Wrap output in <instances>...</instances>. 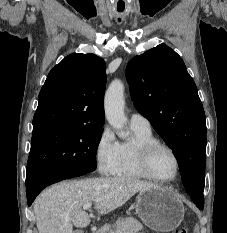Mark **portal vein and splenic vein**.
Listing matches in <instances>:
<instances>
[{"mask_svg": "<svg viewBox=\"0 0 227 233\" xmlns=\"http://www.w3.org/2000/svg\"><path fill=\"white\" fill-rule=\"evenodd\" d=\"M91 206H92V203H86V204L83 205V209L84 210H89L91 208Z\"/></svg>", "mask_w": 227, "mask_h": 233, "instance_id": "portal-vein-and-splenic-vein-1", "label": "portal vein and splenic vein"}]
</instances>
